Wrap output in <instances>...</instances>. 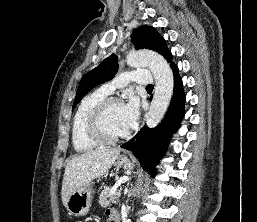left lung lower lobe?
I'll return each mask as SVG.
<instances>
[{"label":"left lung lower lobe","mask_w":257,"mask_h":222,"mask_svg":"<svg viewBox=\"0 0 257 222\" xmlns=\"http://www.w3.org/2000/svg\"><path fill=\"white\" fill-rule=\"evenodd\" d=\"M170 66L174 72V93L164 120L154 129L144 126L130 141L121 145L132 151L152 177L155 175V166L166 152L171 135L179 128L185 114L183 83L177 66L173 62Z\"/></svg>","instance_id":"1"}]
</instances>
